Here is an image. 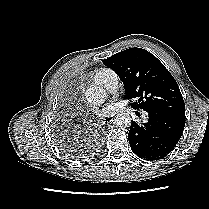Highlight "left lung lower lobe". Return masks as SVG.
Returning a JSON list of instances; mask_svg holds the SVG:
<instances>
[{
    "label": "left lung lower lobe",
    "instance_id": "obj_1",
    "mask_svg": "<svg viewBox=\"0 0 209 209\" xmlns=\"http://www.w3.org/2000/svg\"><path fill=\"white\" fill-rule=\"evenodd\" d=\"M147 123L132 121L128 139L133 153L139 158L154 161L167 156L178 143L185 118L169 113H148Z\"/></svg>",
    "mask_w": 209,
    "mask_h": 209
}]
</instances>
